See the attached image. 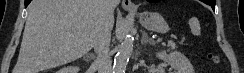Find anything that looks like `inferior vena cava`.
Masks as SVG:
<instances>
[{"instance_id": "inferior-vena-cava-1", "label": "inferior vena cava", "mask_w": 244, "mask_h": 73, "mask_svg": "<svg viewBox=\"0 0 244 73\" xmlns=\"http://www.w3.org/2000/svg\"><path fill=\"white\" fill-rule=\"evenodd\" d=\"M101 14L97 34L94 40V50L97 55L95 65L98 73H112V61L109 50L111 26L109 19L118 4V0H101Z\"/></svg>"}]
</instances>
